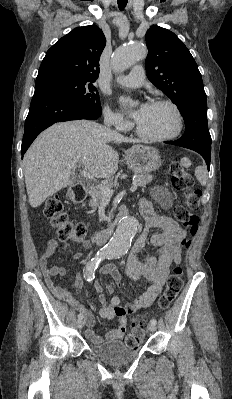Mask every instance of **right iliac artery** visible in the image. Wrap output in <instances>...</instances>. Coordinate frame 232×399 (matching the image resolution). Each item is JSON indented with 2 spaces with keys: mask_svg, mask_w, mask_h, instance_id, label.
I'll return each instance as SVG.
<instances>
[{
  "mask_svg": "<svg viewBox=\"0 0 232 399\" xmlns=\"http://www.w3.org/2000/svg\"><path fill=\"white\" fill-rule=\"evenodd\" d=\"M103 259H104L103 255H96L85 264L83 268V275L88 282L91 283L94 280L95 270L98 268L99 264L102 262ZM82 318L83 315L79 314L78 319L81 320Z\"/></svg>",
  "mask_w": 232,
  "mask_h": 399,
  "instance_id": "obj_1",
  "label": "right iliac artery"
}]
</instances>
